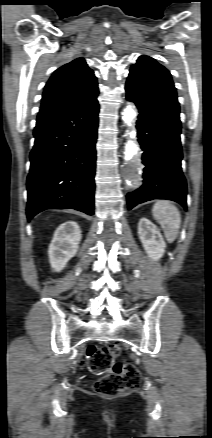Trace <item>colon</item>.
<instances>
[{
    "label": "colon",
    "instance_id": "obj_1",
    "mask_svg": "<svg viewBox=\"0 0 212 438\" xmlns=\"http://www.w3.org/2000/svg\"><path fill=\"white\" fill-rule=\"evenodd\" d=\"M120 355L121 349L117 344L92 345L88 348L86 368L89 373L101 376L94 383L97 393L114 397L139 387V370L131 363L118 361Z\"/></svg>",
    "mask_w": 212,
    "mask_h": 438
}]
</instances>
